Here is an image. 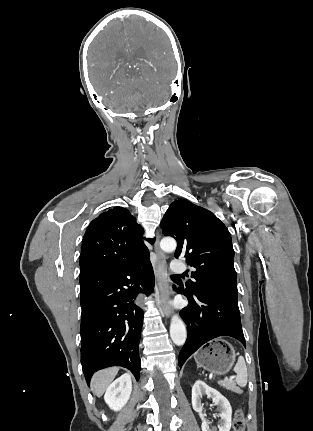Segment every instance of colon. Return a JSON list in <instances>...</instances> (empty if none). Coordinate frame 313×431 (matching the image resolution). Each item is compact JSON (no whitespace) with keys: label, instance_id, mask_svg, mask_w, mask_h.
<instances>
[{"label":"colon","instance_id":"1","mask_svg":"<svg viewBox=\"0 0 313 431\" xmlns=\"http://www.w3.org/2000/svg\"><path fill=\"white\" fill-rule=\"evenodd\" d=\"M233 430L234 431H244L245 430V419L241 410H238L235 414L233 420Z\"/></svg>","mask_w":313,"mask_h":431}]
</instances>
